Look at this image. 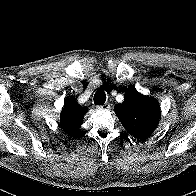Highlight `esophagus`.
Returning <instances> with one entry per match:
<instances>
[{"instance_id":"34e87169","label":"esophagus","mask_w":196,"mask_h":196,"mask_svg":"<svg viewBox=\"0 0 196 196\" xmlns=\"http://www.w3.org/2000/svg\"><path fill=\"white\" fill-rule=\"evenodd\" d=\"M109 106L110 105L108 103H104L102 105H97L96 108H98V109H108Z\"/></svg>"}]
</instances>
